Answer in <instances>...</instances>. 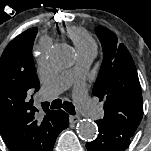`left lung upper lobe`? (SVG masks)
<instances>
[{"label":"left lung upper lobe","instance_id":"5c2ea615","mask_svg":"<svg viewBox=\"0 0 151 151\" xmlns=\"http://www.w3.org/2000/svg\"><path fill=\"white\" fill-rule=\"evenodd\" d=\"M103 62L93 95L104 101V118L98 120L132 137L143 117L142 93L136 66L128 49L109 29L98 26Z\"/></svg>","mask_w":151,"mask_h":151}]
</instances>
